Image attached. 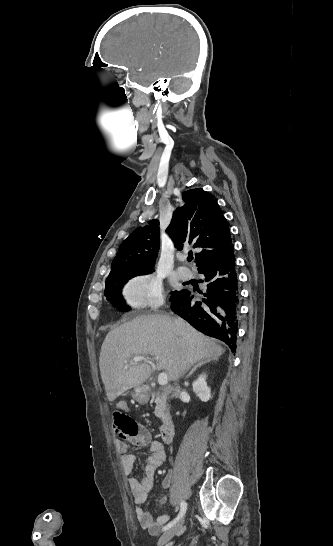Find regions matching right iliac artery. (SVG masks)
Returning <instances> with one entry per match:
<instances>
[{
	"instance_id": "1",
	"label": "right iliac artery",
	"mask_w": 333,
	"mask_h": 546,
	"mask_svg": "<svg viewBox=\"0 0 333 546\" xmlns=\"http://www.w3.org/2000/svg\"><path fill=\"white\" fill-rule=\"evenodd\" d=\"M186 509H187V504H186L185 501H182L181 504H180V512H179L178 516L174 520L169 522L165 527H163L162 531H165V530L171 528L172 526H174L183 517V515L186 512Z\"/></svg>"
}]
</instances>
